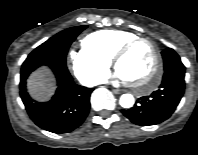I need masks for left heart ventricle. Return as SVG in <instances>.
Returning a JSON list of instances; mask_svg holds the SVG:
<instances>
[{"mask_svg":"<svg viewBox=\"0 0 198 155\" xmlns=\"http://www.w3.org/2000/svg\"><path fill=\"white\" fill-rule=\"evenodd\" d=\"M154 53L148 43L140 42L117 63V69L130 81L141 83L150 73Z\"/></svg>","mask_w":198,"mask_h":155,"instance_id":"1","label":"left heart ventricle"}]
</instances>
